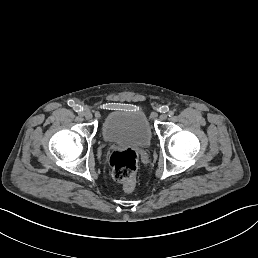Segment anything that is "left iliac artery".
I'll return each mask as SVG.
<instances>
[{
  "mask_svg": "<svg viewBox=\"0 0 258 258\" xmlns=\"http://www.w3.org/2000/svg\"><path fill=\"white\" fill-rule=\"evenodd\" d=\"M174 114H175V112H174L173 110H171V111L168 112V116H169V117H172Z\"/></svg>",
  "mask_w": 258,
  "mask_h": 258,
  "instance_id": "1",
  "label": "left iliac artery"
}]
</instances>
